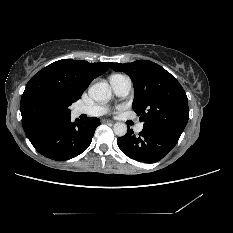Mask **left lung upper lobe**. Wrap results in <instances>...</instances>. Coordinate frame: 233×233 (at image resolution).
Segmentation results:
<instances>
[{
	"label": "left lung upper lobe",
	"instance_id": "left-lung-upper-lobe-1",
	"mask_svg": "<svg viewBox=\"0 0 233 233\" xmlns=\"http://www.w3.org/2000/svg\"><path fill=\"white\" fill-rule=\"evenodd\" d=\"M109 65L132 79L135 90L132 107L144 123L143 128L181 135L189 119L188 98L174 76L149 60Z\"/></svg>",
	"mask_w": 233,
	"mask_h": 233
}]
</instances>
